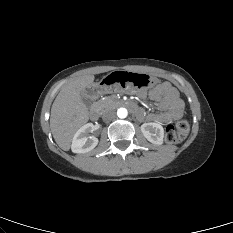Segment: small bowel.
<instances>
[{"instance_id":"small-bowel-1","label":"small bowel","mask_w":233,"mask_h":233,"mask_svg":"<svg viewBox=\"0 0 233 233\" xmlns=\"http://www.w3.org/2000/svg\"><path fill=\"white\" fill-rule=\"evenodd\" d=\"M148 95L151 100L158 104L161 111L159 113H149L146 115L139 109L140 113L137 116L140 119L146 118L151 122L166 124L173 122L182 116L184 108L183 101L180 99L177 90L169 83L153 88ZM138 96L145 98L147 92L141 90L138 92Z\"/></svg>"}]
</instances>
